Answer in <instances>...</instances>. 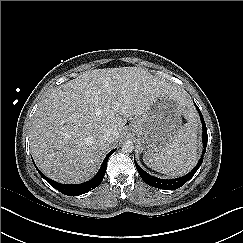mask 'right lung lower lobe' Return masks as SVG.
<instances>
[{"instance_id": "right-lung-lower-lobe-1", "label": "right lung lower lobe", "mask_w": 243, "mask_h": 243, "mask_svg": "<svg viewBox=\"0 0 243 243\" xmlns=\"http://www.w3.org/2000/svg\"><path fill=\"white\" fill-rule=\"evenodd\" d=\"M116 149L110 151L107 156L105 157L98 173L96 174V176L91 179L90 181H87L85 183L82 184H76V185H65V184H61V183H57L49 178H47L40 170H38V168L36 167L37 171L39 172V174L55 189H57L58 191H60L61 193L68 195V196H78L84 193H87L89 191H91L92 189L96 188L103 180V177L105 175L106 172V168H107V162L108 159L110 157V155L112 153L115 152ZM34 163V162H33Z\"/></svg>"}]
</instances>
